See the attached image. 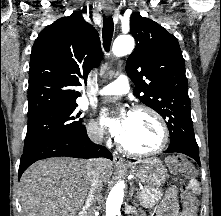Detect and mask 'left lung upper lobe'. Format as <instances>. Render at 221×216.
Listing matches in <instances>:
<instances>
[{
    "instance_id": "left-lung-upper-lobe-1",
    "label": "left lung upper lobe",
    "mask_w": 221,
    "mask_h": 216,
    "mask_svg": "<svg viewBox=\"0 0 221 216\" xmlns=\"http://www.w3.org/2000/svg\"><path fill=\"white\" fill-rule=\"evenodd\" d=\"M130 32L136 47L127 59L126 72L135 83V95L166 119L169 147L199 150L190 114L185 63L177 39L137 13L131 15Z\"/></svg>"
}]
</instances>
